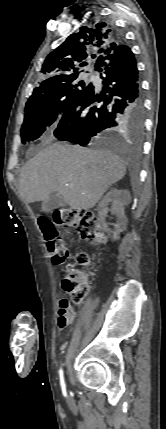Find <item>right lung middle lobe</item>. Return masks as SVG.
<instances>
[{"instance_id": "obj_1", "label": "right lung middle lobe", "mask_w": 166, "mask_h": 429, "mask_svg": "<svg viewBox=\"0 0 166 429\" xmlns=\"http://www.w3.org/2000/svg\"><path fill=\"white\" fill-rule=\"evenodd\" d=\"M84 87L85 83L78 82V75H75L32 93L25 106L22 143L39 138L49 126L56 123Z\"/></svg>"}]
</instances>
